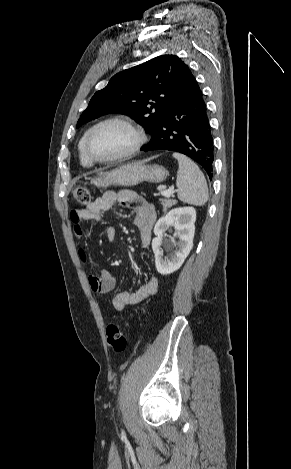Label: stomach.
Here are the masks:
<instances>
[{
	"label": "stomach",
	"mask_w": 291,
	"mask_h": 469,
	"mask_svg": "<svg viewBox=\"0 0 291 469\" xmlns=\"http://www.w3.org/2000/svg\"><path fill=\"white\" fill-rule=\"evenodd\" d=\"M167 170L160 165H147L144 162H131L108 172L99 173L91 179L97 187L110 185L134 186L141 182L159 183L166 179Z\"/></svg>",
	"instance_id": "1"
}]
</instances>
